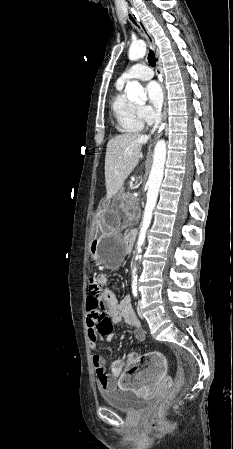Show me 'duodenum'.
I'll list each match as a JSON object with an SVG mask.
<instances>
[{
    "label": "duodenum",
    "instance_id": "obj_1",
    "mask_svg": "<svg viewBox=\"0 0 233 449\" xmlns=\"http://www.w3.org/2000/svg\"><path fill=\"white\" fill-rule=\"evenodd\" d=\"M135 239H136V232L134 230H132L130 232V234L127 236L126 241H125L127 252L132 251L134 244H135Z\"/></svg>",
    "mask_w": 233,
    "mask_h": 449
}]
</instances>
